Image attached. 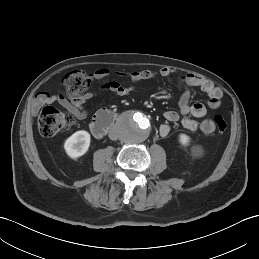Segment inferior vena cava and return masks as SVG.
I'll return each mask as SVG.
<instances>
[{
  "label": "inferior vena cava",
  "instance_id": "obj_1",
  "mask_svg": "<svg viewBox=\"0 0 259 259\" xmlns=\"http://www.w3.org/2000/svg\"><path fill=\"white\" fill-rule=\"evenodd\" d=\"M109 137L111 140H116L118 138V135L115 131H110Z\"/></svg>",
  "mask_w": 259,
  "mask_h": 259
}]
</instances>
